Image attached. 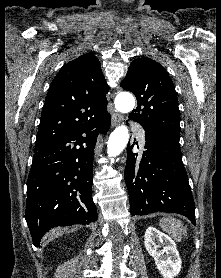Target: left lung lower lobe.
Masks as SVG:
<instances>
[{"label":"left lung lower lobe","mask_w":221,"mask_h":278,"mask_svg":"<svg viewBox=\"0 0 221 278\" xmlns=\"http://www.w3.org/2000/svg\"><path fill=\"white\" fill-rule=\"evenodd\" d=\"M179 138L177 134L145 132L146 150L141 158L132 152L134 144L127 145L124 178L133 216L178 213L196 224L195 204L182 162Z\"/></svg>","instance_id":"left-lung-lower-lobe-1"}]
</instances>
